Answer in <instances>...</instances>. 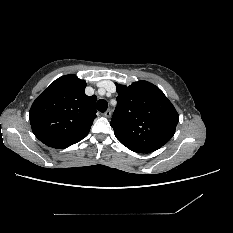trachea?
Instances as JSON below:
<instances>
[{
    "label": "trachea",
    "instance_id": "obj_1",
    "mask_svg": "<svg viewBox=\"0 0 233 233\" xmlns=\"http://www.w3.org/2000/svg\"><path fill=\"white\" fill-rule=\"evenodd\" d=\"M108 108V103L106 100L104 99H99L97 101V109L100 111V112H105Z\"/></svg>",
    "mask_w": 233,
    "mask_h": 233
}]
</instances>
